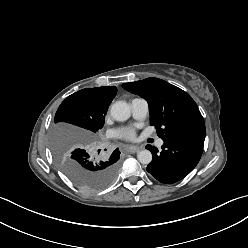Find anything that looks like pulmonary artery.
<instances>
[{"mask_svg": "<svg viewBox=\"0 0 248 248\" xmlns=\"http://www.w3.org/2000/svg\"><path fill=\"white\" fill-rule=\"evenodd\" d=\"M132 115L135 119H144L149 111L148 102L142 98H135L130 103ZM157 145L160 147L163 145V140L159 139Z\"/></svg>", "mask_w": 248, "mask_h": 248, "instance_id": "e3ab8cb5", "label": "pulmonary artery"}]
</instances>
